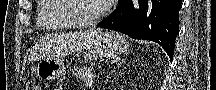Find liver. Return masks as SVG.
Wrapping results in <instances>:
<instances>
[{
  "mask_svg": "<svg viewBox=\"0 0 216 90\" xmlns=\"http://www.w3.org/2000/svg\"><path fill=\"white\" fill-rule=\"evenodd\" d=\"M101 34V30H86V32H74L68 36V44L73 50H82L83 46H91L93 40Z\"/></svg>",
  "mask_w": 216,
  "mask_h": 90,
  "instance_id": "1",
  "label": "liver"
}]
</instances>
